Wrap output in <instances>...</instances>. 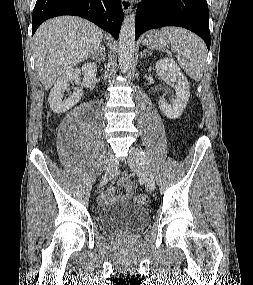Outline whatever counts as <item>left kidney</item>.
<instances>
[{
  "label": "left kidney",
  "instance_id": "left-kidney-1",
  "mask_svg": "<svg viewBox=\"0 0 253 285\" xmlns=\"http://www.w3.org/2000/svg\"><path fill=\"white\" fill-rule=\"evenodd\" d=\"M151 71V68L148 69ZM156 72L166 80L176 82L177 97L173 101L159 98L158 105L162 113L169 119L178 118L185 109L190 98L189 82L183 75L180 67L172 59H162L155 64Z\"/></svg>",
  "mask_w": 253,
  "mask_h": 285
}]
</instances>
